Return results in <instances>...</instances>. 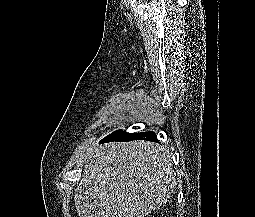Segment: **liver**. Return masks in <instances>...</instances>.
<instances>
[{"label": "liver", "mask_w": 255, "mask_h": 217, "mask_svg": "<svg viewBox=\"0 0 255 217\" xmlns=\"http://www.w3.org/2000/svg\"><path fill=\"white\" fill-rule=\"evenodd\" d=\"M171 152L163 145L133 141L92 148L74 201L79 217H144L175 193Z\"/></svg>", "instance_id": "1"}]
</instances>
